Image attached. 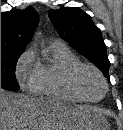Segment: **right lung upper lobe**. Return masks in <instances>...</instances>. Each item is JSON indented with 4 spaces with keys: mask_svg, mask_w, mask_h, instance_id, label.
<instances>
[{
    "mask_svg": "<svg viewBox=\"0 0 123 130\" xmlns=\"http://www.w3.org/2000/svg\"><path fill=\"white\" fill-rule=\"evenodd\" d=\"M39 17L33 7L1 13V54L22 53L32 39Z\"/></svg>",
    "mask_w": 123,
    "mask_h": 130,
    "instance_id": "cb5924a9",
    "label": "right lung upper lobe"
}]
</instances>
